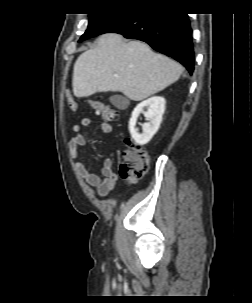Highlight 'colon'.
Here are the masks:
<instances>
[{"instance_id": "colon-1", "label": "colon", "mask_w": 252, "mask_h": 303, "mask_svg": "<svg viewBox=\"0 0 252 303\" xmlns=\"http://www.w3.org/2000/svg\"><path fill=\"white\" fill-rule=\"evenodd\" d=\"M70 110L76 111L78 105L74 97L67 99ZM91 107L99 113L104 122H111L116 116V110L112 107L104 105L102 102L94 100ZM129 148L123 153V161L119 168V174L122 178L129 181H137L148 169V155L140 146L132 141L128 142Z\"/></svg>"}]
</instances>
